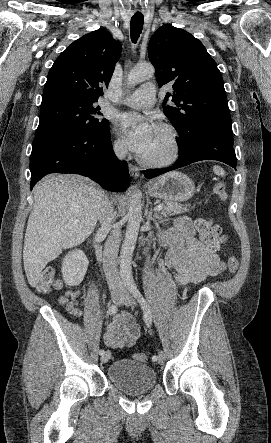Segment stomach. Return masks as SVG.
Here are the masks:
<instances>
[{
  "label": "stomach",
  "mask_w": 271,
  "mask_h": 443,
  "mask_svg": "<svg viewBox=\"0 0 271 443\" xmlns=\"http://www.w3.org/2000/svg\"><path fill=\"white\" fill-rule=\"evenodd\" d=\"M148 194L167 202H186L194 196L195 186L185 174L170 172L153 180L148 188Z\"/></svg>",
  "instance_id": "1"
}]
</instances>
